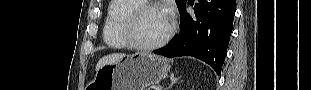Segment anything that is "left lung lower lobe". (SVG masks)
I'll return each instance as SVG.
<instances>
[{
  "instance_id": "left-lung-lower-lobe-1",
  "label": "left lung lower lobe",
  "mask_w": 311,
  "mask_h": 90,
  "mask_svg": "<svg viewBox=\"0 0 311 90\" xmlns=\"http://www.w3.org/2000/svg\"><path fill=\"white\" fill-rule=\"evenodd\" d=\"M235 4L236 0H199L194 7L195 15L190 16L185 3L179 10L180 33L154 53L169 58L193 56L208 63L220 75L232 32Z\"/></svg>"
}]
</instances>
